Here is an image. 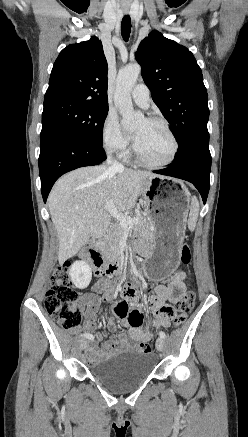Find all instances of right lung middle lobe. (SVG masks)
Returning a JSON list of instances; mask_svg holds the SVG:
<instances>
[{"label":"right lung middle lobe","instance_id":"1","mask_svg":"<svg viewBox=\"0 0 248 437\" xmlns=\"http://www.w3.org/2000/svg\"><path fill=\"white\" fill-rule=\"evenodd\" d=\"M107 113L108 107H97L82 101L64 98L44 100L40 138L62 133L102 146Z\"/></svg>","mask_w":248,"mask_h":437}]
</instances>
